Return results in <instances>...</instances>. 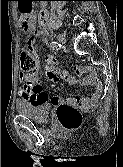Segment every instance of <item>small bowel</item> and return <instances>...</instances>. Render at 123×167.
Wrapping results in <instances>:
<instances>
[{
	"mask_svg": "<svg viewBox=\"0 0 123 167\" xmlns=\"http://www.w3.org/2000/svg\"><path fill=\"white\" fill-rule=\"evenodd\" d=\"M19 5V14H30L33 5H30V1H17ZM32 21L29 17H25L22 21V27L24 29H31ZM34 36L29 35L26 38V44L32 48L34 44ZM55 59L52 55L45 57L44 75L52 81L57 79V69L54 65ZM61 74L69 84H81L92 86L94 92L90 97H73L68 99H61L58 96H52L49 98L48 94L44 91L43 86L37 80V71L32 74H21L20 81L23 85L19 88V96L33 103L39 102H51L54 105H68L71 107H79L84 110H92L98 103L100 94L102 92V85L96 79L95 75L88 71L84 72V76L79 79L75 76H69L66 71H62Z\"/></svg>",
	"mask_w": 123,
	"mask_h": 167,
	"instance_id": "1",
	"label": "small bowel"
}]
</instances>
